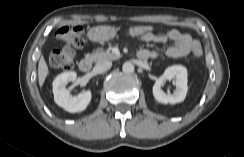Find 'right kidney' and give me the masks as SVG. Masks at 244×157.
<instances>
[{
    "label": "right kidney",
    "instance_id": "right-kidney-1",
    "mask_svg": "<svg viewBox=\"0 0 244 157\" xmlns=\"http://www.w3.org/2000/svg\"><path fill=\"white\" fill-rule=\"evenodd\" d=\"M77 73L74 71L63 72L53 81V94L55 103L70 113L84 111L91 102L92 94L90 90L84 91L77 96L70 95L65 88L68 82L74 81Z\"/></svg>",
    "mask_w": 244,
    "mask_h": 157
}]
</instances>
